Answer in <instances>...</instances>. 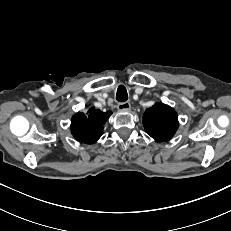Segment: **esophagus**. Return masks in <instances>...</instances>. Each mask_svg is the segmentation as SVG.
Listing matches in <instances>:
<instances>
[{
    "mask_svg": "<svg viewBox=\"0 0 231 231\" xmlns=\"http://www.w3.org/2000/svg\"><path fill=\"white\" fill-rule=\"evenodd\" d=\"M131 105L129 102H120L117 105V108L119 111H128L130 109Z\"/></svg>",
    "mask_w": 231,
    "mask_h": 231,
    "instance_id": "esophagus-1",
    "label": "esophagus"
}]
</instances>
